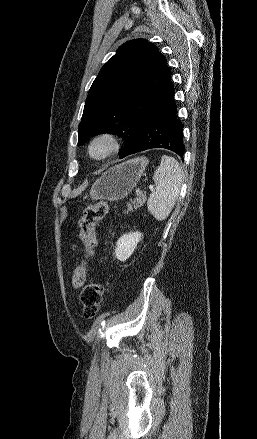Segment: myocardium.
<instances>
[{
	"label": "myocardium",
	"instance_id": "obj_1",
	"mask_svg": "<svg viewBox=\"0 0 257 439\" xmlns=\"http://www.w3.org/2000/svg\"><path fill=\"white\" fill-rule=\"evenodd\" d=\"M104 144L105 150L96 154L94 149L97 145ZM121 147V139L119 135L113 131H103L94 135L87 145L88 157L96 162H102L115 155Z\"/></svg>",
	"mask_w": 257,
	"mask_h": 439
}]
</instances>
